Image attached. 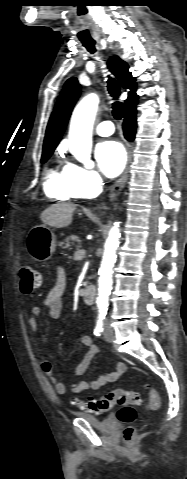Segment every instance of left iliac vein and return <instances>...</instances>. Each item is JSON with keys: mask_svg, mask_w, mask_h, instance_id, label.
Listing matches in <instances>:
<instances>
[{"mask_svg": "<svg viewBox=\"0 0 187 479\" xmlns=\"http://www.w3.org/2000/svg\"><path fill=\"white\" fill-rule=\"evenodd\" d=\"M103 336L106 341L111 342L113 340V330L109 324V322H105L104 324V332Z\"/></svg>", "mask_w": 187, "mask_h": 479, "instance_id": "obj_1", "label": "left iliac vein"}]
</instances>
